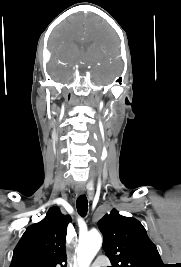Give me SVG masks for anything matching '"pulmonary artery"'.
Instances as JSON below:
<instances>
[{
	"label": "pulmonary artery",
	"mask_w": 181,
	"mask_h": 267,
	"mask_svg": "<svg viewBox=\"0 0 181 267\" xmlns=\"http://www.w3.org/2000/svg\"><path fill=\"white\" fill-rule=\"evenodd\" d=\"M105 265V262L103 261L102 258H98L92 265L91 267H103Z\"/></svg>",
	"instance_id": "1"
}]
</instances>
